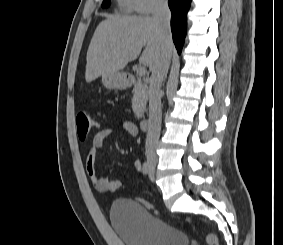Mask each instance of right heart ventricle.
I'll return each mask as SVG.
<instances>
[{
    "label": "right heart ventricle",
    "mask_w": 283,
    "mask_h": 245,
    "mask_svg": "<svg viewBox=\"0 0 283 245\" xmlns=\"http://www.w3.org/2000/svg\"><path fill=\"white\" fill-rule=\"evenodd\" d=\"M117 2L120 8L123 9L124 11L133 10L129 0H117Z\"/></svg>",
    "instance_id": "right-heart-ventricle-1"
}]
</instances>
